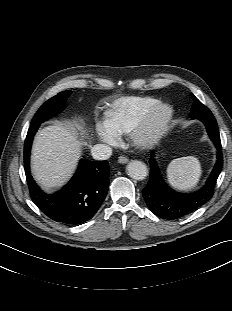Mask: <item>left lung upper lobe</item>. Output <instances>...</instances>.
Wrapping results in <instances>:
<instances>
[{
  "label": "left lung upper lobe",
  "mask_w": 232,
  "mask_h": 311,
  "mask_svg": "<svg viewBox=\"0 0 232 311\" xmlns=\"http://www.w3.org/2000/svg\"><path fill=\"white\" fill-rule=\"evenodd\" d=\"M192 97L194 98V103H193V106H192V110H191L190 116H194V115H198V114H206V113H210L211 112L194 95H192Z\"/></svg>",
  "instance_id": "5c2ea615"
}]
</instances>
